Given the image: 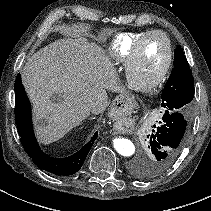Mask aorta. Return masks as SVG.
<instances>
[{"label": "aorta", "instance_id": "1", "mask_svg": "<svg viewBox=\"0 0 211 211\" xmlns=\"http://www.w3.org/2000/svg\"><path fill=\"white\" fill-rule=\"evenodd\" d=\"M115 150L122 156H132L135 152L134 144L126 138H116L113 141Z\"/></svg>", "mask_w": 211, "mask_h": 211}]
</instances>
